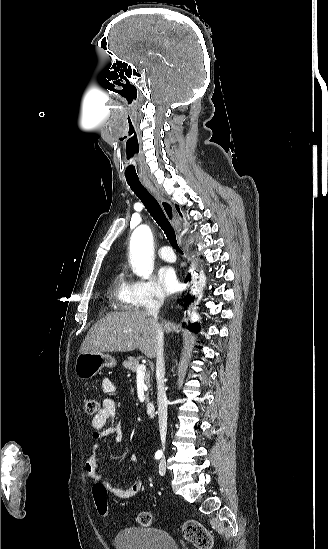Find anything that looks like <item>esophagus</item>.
<instances>
[{
    "mask_svg": "<svg viewBox=\"0 0 328 549\" xmlns=\"http://www.w3.org/2000/svg\"><path fill=\"white\" fill-rule=\"evenodd\" d=\"M142 183H143L144 187H146V189H148L151 192V194L154 195L155 199L159 202L160 206L162 207V210L165 213L167 219L172 224L174 229L176 231H178L179 221L177 219L176 212H175L174 207L171 204V202L169 200L165 199V197L161 194V192H159L154 187V185L152 184V182L150 180H142Z\"/></svg>",
    "mask_w": 328,
    "mask_h": 549,
    "instance_id": "1",
    "label": "esophagus"
}]
</instances>
